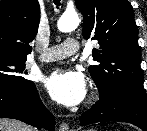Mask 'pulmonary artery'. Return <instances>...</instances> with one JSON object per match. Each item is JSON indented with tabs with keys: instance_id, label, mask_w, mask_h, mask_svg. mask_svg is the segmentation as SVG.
Listing matches in <instances>:
<instances>
[{
	"instance_id": "obj_1",
	"label": "pulmonary artery",
	"mask_w": 147,
	"mask_h": 131,
	"mask_svg": "<svg viewBox=\"0 0 147 131\" xmlns=\"http://www.w3.org/2000/svg\"><path fill=\"white\" fill-rule=\"evenodd\" d=\"M79 42L75 39H67L60 45L52 46L44 51L39 60L41 62H52L74 55L79 50Z\"/></svg>"
}]
</instances>
